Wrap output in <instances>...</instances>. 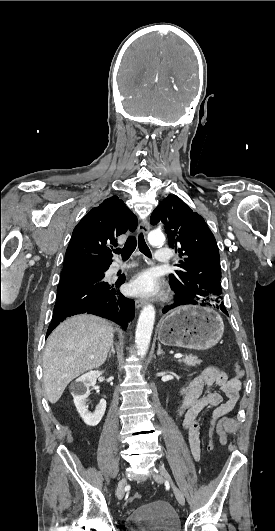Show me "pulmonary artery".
<instances>
[{"instance_id":"1","label":"pulmonary artery","mask_w":275,"mask_h":531,"mask_svg":"<svg viewBox=\"0 0 275 531\" xmlns=\"http://www.w3.org/2000/svg\"><path fill=\"white\" fill-rule=\"evenodd\" d=\"M169 256H170V253L168 250L166 249H158L154 252V257H155V263L157 265H164V264H167L169 262ZM131 265L130 264H121V263H114L110 269H109V273L111 276H113L116 272H118L119 270H122V269H125V268H128L130 267Z\"/></svg>"}]
</instances>
